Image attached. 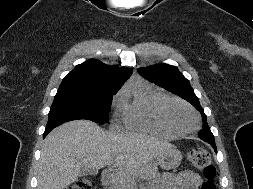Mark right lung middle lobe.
<instances>
[{
  "label": "right lung middle lobe",
  "instance_id": "obj_1",
  "mask_svg": "<svg viewBox=\"0 0 253 189\" xmlns=\"http://www.w3.org/2000/svg\"><path fill=\"white\" fill-rule=\"evenodd\" d=\"M115 89H58L47 126L87 119L106 123Z\"/></svg>",
  "mask_w": 253,
  "mask_h": 189
}]
</instances>
